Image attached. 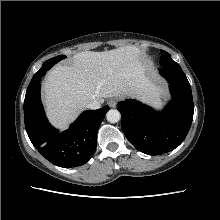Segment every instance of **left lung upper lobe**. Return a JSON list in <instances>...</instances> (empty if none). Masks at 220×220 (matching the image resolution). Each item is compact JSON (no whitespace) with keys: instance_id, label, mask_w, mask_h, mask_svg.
I'll use <instances>...</instances> for the list:
<instances>
[{"instance_id":"obj_1","label":"left lung upper lobe","mask_w":220,"mask_h":220,"mask_svg":"<svg viewBox=\"0 0 220 220\" xmlns=\"http://www.w3.org/2000/svg\"><path fill=\"white\" fill-rule=\"evenodd\" d=\"M160 65L162 67L181 68L178 63L171 59V56L164 50H161Z\"/></svg>"}]
</instances>
